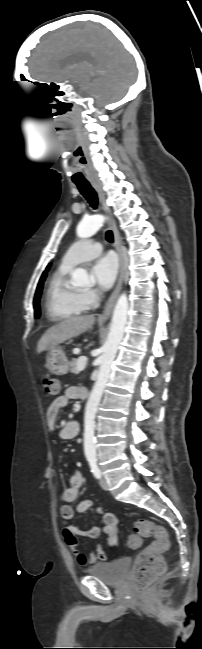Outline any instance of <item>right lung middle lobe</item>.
<instances>
[{
    "label": "right lung middle lobe",
    "instance_id": "right-lung-middle-lobe-1",
    "mask_svg": "<svg viewBox=\"0 0 202 649\" xmlns=\"http://www.w3.org/2000/svg\"><path fill=\"white\" fill-rule=\"evenodd\" d=\"M45 278H46V272L44 274H42V276H41V278L39 280L37 290H36V293H35V297H34V301H33V305H34V309H35V318H39V316H40L39 300H40V296H41V292H42V288H43V282H44Z\"/></svg>",
    "mask_w": 202,
    "mask_h": 649
}]
</instances>
